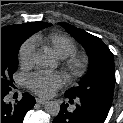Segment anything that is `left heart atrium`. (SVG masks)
Segmentation results:
<instances>
[{
  "instance_id": "obj_1",
  "label": "left heart atrium",
  "mask_w": 123,
  "mask_h": 123,
  "mask_svg": "<svg viewBox=\"0 0 123 123\" xmlns=\"http://www.w3.org/2000/svg\"><path fill=\"white\" fill-rule=\"evenodd\" d=\"M65 82L64 76L59 72L38 71L28 77L27 85L37 95L49 97Z\"/></svg>"
}]
</instances>
